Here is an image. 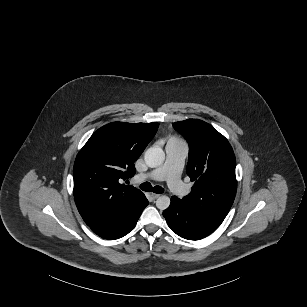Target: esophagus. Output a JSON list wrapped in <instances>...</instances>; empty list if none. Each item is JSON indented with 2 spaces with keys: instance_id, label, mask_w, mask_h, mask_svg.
<instances>
[{
  "instance_id": "1",
  "label": "esophagus",
  "mask_w": 307,
  "mask_h": 307,
  "mask_svg": "<svg viewBox=\"0 0 307 307\" xmlns=\"http://www.w3.org/2000/svg\"><path fill=\"white\" fill-rule=\"evenodd\" d=\"M150 196L152 197L153 200H156L160 195L155 193H150Z\"/></svg>"
}]
</instances>
